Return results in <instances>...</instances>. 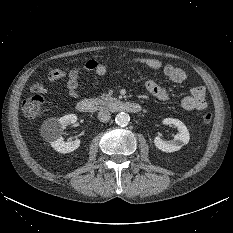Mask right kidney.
I'll return each instance as SVG.
<instances>
[{"mask_svg":"<svg viewBox=\"0 0 233 233\" xmlns=\"http://www.w3.org/2000/svg\"><path fill=\"white\" fill-rule=\"evenodd\" d=\"M77 121L75 114L65 115L61 118H49L42 125V133L45 139L50 143L54 150L60 153H70L76 150L81 141L64 142L62 133L66 126L74 124Z\"/></svg>","mask_w":233,"mask_h":233,"instance_id":"ca27d5eb","label":"right kidney"}]
</instances>
